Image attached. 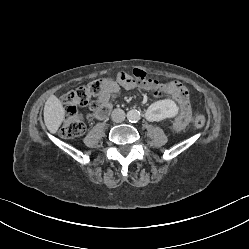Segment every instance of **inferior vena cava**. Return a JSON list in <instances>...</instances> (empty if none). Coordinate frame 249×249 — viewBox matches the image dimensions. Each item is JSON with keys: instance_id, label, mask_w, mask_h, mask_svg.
Returning <instances> with one entry per match:
<instances>
[{"instance_id": "obj_1", "label": "inferior vena cava", "mask_w": 249, "mask_h": 249, "mask_svg": "<svg viewBox=\"0 0 249 249\" xmlns=\"http://www.w3.org/2000/svg\"><path fill=\"white\" fill-rule=\"evenodd\" d=\"M112 121L121 123L125 120V112L122 109H114L111 114Z\"/></svg>"}]
</instances>
